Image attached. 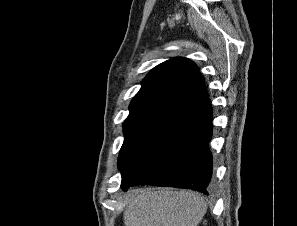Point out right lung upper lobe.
I'll return each mask as SVG.
<instances>
[{"mask_svg":"<svg viewBox=\"0 0 297 226\" xmlns=\"http://www.w3.org/2000/svg\"><path fill=\"white\" fill-rule=\"evenodd\" d=\"M208 98L204 79L194 62L173 58L153 68L133 98L126 121L148 117L170 119Z\"/></svg>","mask_w":297,"mask_h":226,"instance_id":"obj_1","label":"right lung upper lobe"}]
</instances>
